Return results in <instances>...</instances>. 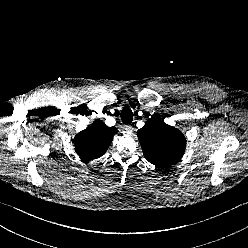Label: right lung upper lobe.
Returning <instances> with one entry per match:
<instances>
[{
  "label": "right lung upper lobe",
  "instance_id": "obj_1",
  "mask_svg": "<svg viewBox=\"0 0 248 248\" xmlns=\"http://www.w3.org/2000/svg\"><path fill=\"white\" fill-rule=\"evenodd\" d=\"M117 131L115 127L106 126L102 120H96L75 136L76 153L88 161L101 157L110 146Z\"/></svg>",
  "mask_w": 248,
  "mask_h": 248
}]
</instances>
